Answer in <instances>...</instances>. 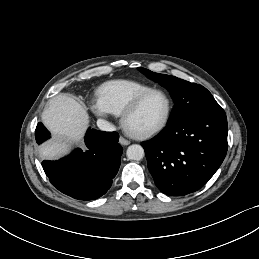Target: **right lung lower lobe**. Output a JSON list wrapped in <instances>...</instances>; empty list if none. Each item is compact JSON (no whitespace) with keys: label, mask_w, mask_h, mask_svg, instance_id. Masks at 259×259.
<instances>
[{"label":"right lung lower lobe","mask_w":259,"mask_h":259,"mask_svg":"<svg viewBox=\"0 0 259 259\" xmlns=\"http://www.w3.org/2000/svg\"><path fill=\"white\" fill-rule=\"evenodd\" d=\"M42 123H38L35 138L38 144L49 137ZM116 132L88 130L87 150L76 149L58 161H43L42 167L52 185L62 193L79 200L101 197L112 185L120 167L122 147Z\"/></svg>","instance_id":"right-lung-lower-lobe-1"}]
</instances>
